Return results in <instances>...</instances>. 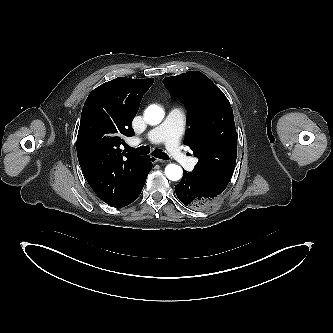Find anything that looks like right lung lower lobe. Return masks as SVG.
<instances>
[{
    "label": "right lung lower lobe",
    "mask_w": 333,
    "mask_h": 333,
    "mask_svg": "<svg viewBox=\"0 0 333 333\" xmlns=\"http://www.w3.org/2000/svg\"><path fill=\"white\" fill-rule=\"evenodd\" d=\"M152 168V163L149 157L145 156V159L139 165L137 172L135 173L130 190L125 198L114 207H124L135 201L140 195L147 175Z\"/></svg>",
    "instance_id": "obj_1"
}]
</instances>
